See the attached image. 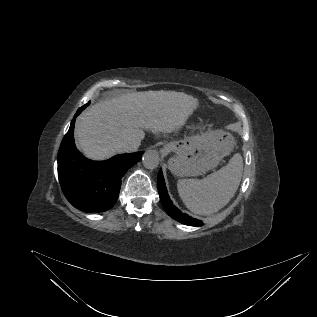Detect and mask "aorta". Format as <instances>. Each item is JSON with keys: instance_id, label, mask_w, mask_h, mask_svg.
Returning a JSON list of instances; mask_svg holds the SVG:
<instances>
[{"instance_id": "obj_1", "label": "aorta", "mask_w": 317, "mask_h": 317, "mask_svg": "<svg viewBox=\"0 0 317 317\" xmlns=\"http://www.w3.org/2000/svg\"><path fill=\"white\" fill-rule=\"evenodd\" d=\"M160 161L159 153L156 150H147L143 154L142 163L147 169H155L158 167Z\"/></svg>"}]
</instances>
